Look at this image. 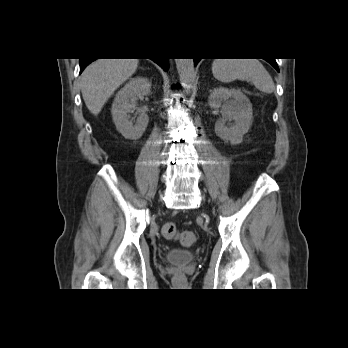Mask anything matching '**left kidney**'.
I'll use <instances>...</instances> for the list:
<instances>
[{
  "label": "left kidney",
  "mask_w": 348,
  "mask_h": 348,
  "mask_svg": "<svg viewBox=\"0 0 348 348\" xmlns=\"http://www.w3.org/2000/svg\"><path fill=\"white\" fill-rule=\"evenodd\" d=\"M208 104L213 109L222 107L223 110V118L215 124L216 135L233 145L241 143L253 118L252 104L247 96L238 89L220 87L210 94ZM228 119L234 120L230 127L225 125Z\"/></svg>",
  "instance_id": "5707ae66"
}]
</instances>
